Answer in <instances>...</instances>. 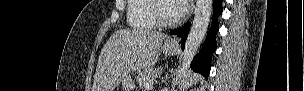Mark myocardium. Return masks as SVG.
<instances>
[{
    "label": "myocardium",
    "instance_id": "1",
    "mask_svg": "<svg viewBox=\"0 0 304 91\" xmlns=\"http://www.w3.org/2000/svg\"><path fill=\"white\" fill-rule=\"evenodd\" d=\"M172 1V0H154L152 6V15L156 23L161 27H170L178 24L183 15H179L177 18L168 19L162 15L161 5L163 2Z\"/></svg>",
    "mask_w": 304,
    "mask_h": 91
}]
</instances>
